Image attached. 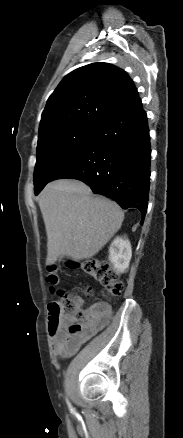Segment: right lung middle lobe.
<instances>
[{
    "label": "right lung middle lobe",
    "mask_w": 183,
    "mask_h": 438,
    "mask_svg": "<svg viewBox=\"0 0 183 438\" xmlns=\"http://www.w3.org/2000/svg\"><path fill=\"white\" fill-rule=\"evenodd\" d=\"M97 126L77 125L38 138L34 186L37 195L90 141Z\"/></svg>",
    "instance_id": "dd1d6c3e"
}]
</instances>
